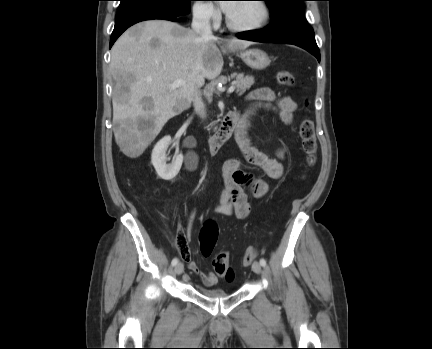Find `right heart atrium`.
<instances>
[{
	"label": "right heart atrium",
	"instance_id": "right-heart-atrium-1",
	"mask_svg": "<svg viewBox=\"0 0 432 349\" xmlns=\"http://www.w3.org/2000/svg\"><path fill=\"white\" fill-rule=\"evenodd\" d=\"M195 18L203 22L215 23L219 20V11L210 1H196L193 4Z\"/></svg>",
	"mask_w": 432,
	"mask_h": 349
}]
</instances>
